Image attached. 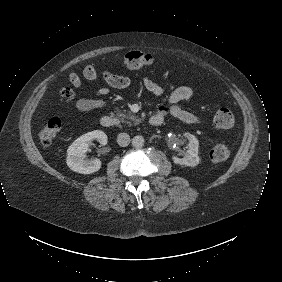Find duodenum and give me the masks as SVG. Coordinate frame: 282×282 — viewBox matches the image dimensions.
<instances>
[{
    "instance_id": "1",
    "label": "duodenum",
    "mask_w": 282,
    "mask_h": 282,
    "mask_svg": "<svg viewBox=\"0 0 282 282\" xmlns=\"http://www.w3.org/2000/svg\"><path fill=\"white\" fill-rule=\"evenodd\" d=\"M163 118L161 116H153L150 119V123L152 125L158 126L162 123ZM100 125L105 128H112L116 125V119L112 116L105 115L100 119Z\"/></svg>"
}]
</instances>
